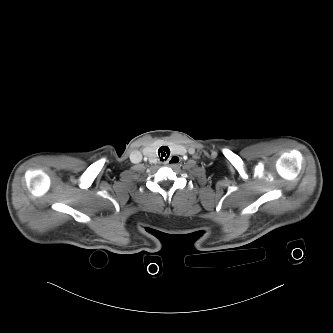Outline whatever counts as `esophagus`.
Masks as SVG:
<instances>
[{
  "instance_id": "1",
  "label": "esophagus",
  "mask_w": 333,
  "mask_h": 333,
  "mask_svg": "<svg viewBox=\"0 0 333 333\" xmlns=\"http://www.w3.org/2000/svg\"><path fill=\"white\" fill-rule=\"evenodd\" d=\"M180 161H181V158H179L176 155H173L170 158H168L166 161H164V164H167V165H177V164H179Z\"/></svg>"
}]
</instances>
